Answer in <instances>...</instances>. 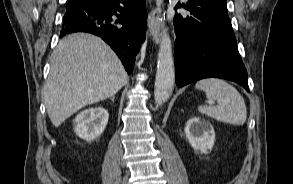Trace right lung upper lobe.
<instances>
[{
	"mask_svg": "<svg viewBox=\"0 0 293 184\" xmlns=\"http://www.w3.org/2000/svg\"><path fill=\"white\" fill-rule=\"evenodd\" d=\"M85 1L86 0H68L67 1V9L77 7V6L81 5Z\"/></svg>",
	"mask_w": 293,
	"mask_h": 184,
	"instance_id": "right-lung-upper-lobe-1",
	"label": "right lung upper lobe"
}]
</instances>
